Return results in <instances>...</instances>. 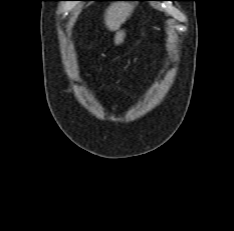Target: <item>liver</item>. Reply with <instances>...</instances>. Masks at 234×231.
I'll return each instance as SVG.
<instances>
[{"instance_id":"liver-1","label":"liver","mask_w":234,"mask_h":231,"mask_svg":"<svg viewBox=\"0 0 234 231\" xmlns=\"http://www.w3.org/2000/svg\"><path fill=\"white\" fill-rule=\"evenodd\" d=\"M134 8L130 3H112L105 11V25L110 31H117L130 16Z\"/></svg>"}]
</instances>
